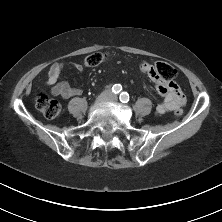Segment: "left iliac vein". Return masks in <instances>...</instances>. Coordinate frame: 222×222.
Listing matches in <instances>:
<instances>
[{
	"label": "left iliac vein",
	"mask_w": 222,
	"mask_h": 222,
	"mask_svg": "<svg viewBox=\"0 0 222 222\" xmlns=\"http://www.w3.org/2000/svg\"><path fill=\"white\" fill-rule=\"evenodd\" d=\"M109 100L112 102H116L117 98L115 96H112Z\"/></svg>",
	"instance_id": "obj_1"
}]
</instances>
